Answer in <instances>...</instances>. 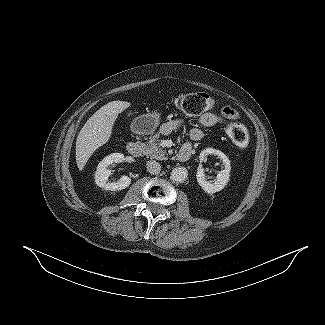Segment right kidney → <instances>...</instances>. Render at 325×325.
I'll list each match as a JSON object with an SVG mask.
<instances>
[{"instance_id": "right-kidney-1", "label": "right kidney", "mask_w": 325, "mask_h": 325, "mask_svg": "<svg viewBox=\"0 0 325 325\" xmlns=\"http://www.w3.org/2000/svg\"><path fill=\"white\" fill-rule=\"evenodd\" d=\"M124 161V155L121 153H112L106 156L97 166L95 172L96 184L110 191L123 190L131 184V179L128 176H122L118 181L109 182L108 178L111 175V171L107 169L108 165L113 163H121Z\"/></svg>"}]
</instances>
